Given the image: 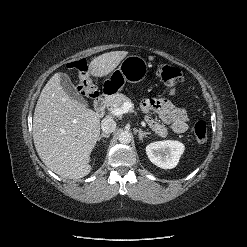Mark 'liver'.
<instances>
[{
    "label": "liver",
    "mask_w": 247,
    "mask_h": 247,
    "mask_svg": "<svg viewBox=\"0 0 247 247\" xmlns=\"http://www.w3.org/2000/svg\"><path fill=\"white\" fill-rule=\"evenodd\" d=\"M127 51L104 53L89 64L102 77L112 72ZM56 73L43 88L33 117V140L43 163L63 178L79 179L91 171L90 155L100 135V118L60 86Z\"/></svg>",
    "instance_id": "liver-1"
}]
</instances>
